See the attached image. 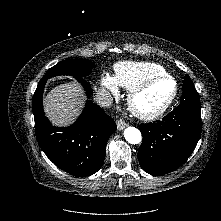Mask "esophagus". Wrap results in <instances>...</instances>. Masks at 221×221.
Masks as SVG:
<instances>
[{
	"instance_id": "34e87169",
	"label": "esophagus",
	"mask_w": 221,
	"mask_h": 221,
	"mask_svg": "<svg viewBox=\"0 0 221 221\" xmlns=\"http://www.w3.org/2000/svg\"><path fill=\"white\" fill-rule=\"evenodd\" d=\"M116 124H117L118 130H123L127 126V124L125 123L123 119H118L116 121Z\"/></svg>"
}]
</instances>
